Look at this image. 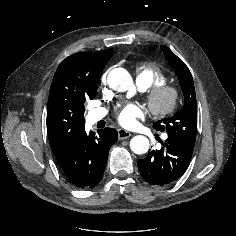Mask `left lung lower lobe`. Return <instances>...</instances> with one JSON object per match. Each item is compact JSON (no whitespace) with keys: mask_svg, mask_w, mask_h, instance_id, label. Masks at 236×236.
<instances>
[{"mask_svg":"<svg viewBox=\"0 0 236 236\" xmlns=\"http://www.w3.org/2000/svg\"><path fill=\"white\" fill-rule=\"evenodd\" d=\"M160 150H152L138 161L143 178L152 185L164 186L176 181L187 169L193 148L167 138Z\"/></svg>","mask_w":236,"mask_h":236,"instance_id":"1","label":"left lung lower lobe"}]
</instances>
